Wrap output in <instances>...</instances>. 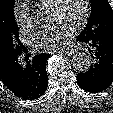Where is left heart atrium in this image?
Wrapping results in <instances>:
<instances>
[{
	"instance_id": "39dd6f15",
	"label": "left heart atrium",
	"mask_w": 113,
	"mask_h": 113,
	"mask_svg": "<svg viewBox=\"0 0 113 113\" xmlns=\"http://www.w3.org/2000/svg\"><path fill=\"white\" fill-rule=\"evenodd\" d=\"M74 33L72 25L58 20L41 29L34 37V45L38 50L55 51L66 46L67 39Z\"/></svg>"
}]
</instances>
